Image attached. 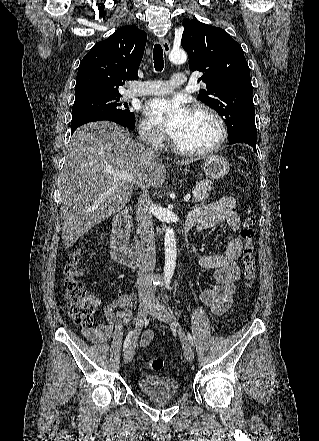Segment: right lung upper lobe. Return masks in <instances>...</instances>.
<instances>
[{
  "instance_id": "obj_1",
  "label": "right lung upper lobe",
  "mask_w": 319,
  "mask_h": 441,
  "mask_svg": "<svg viewBox=\"0 0 319 441\" xmlns=\"http://www.w3.org/2000/svg\"><path fill=\"white\" fill-rule=\"evenodd\" d=\"M147 35L136 26L117 29L106 40L96 43L79 65L75 100L120 95L125 80L138 79Z\"/></svg>"
}]
</instances>
